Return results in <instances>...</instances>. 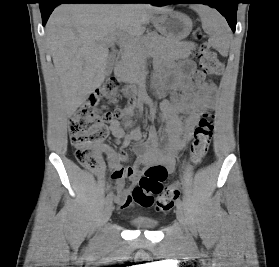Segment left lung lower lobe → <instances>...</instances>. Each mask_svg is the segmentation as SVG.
Here are the masks:
<instances>
[{"mask_svg":"<svg viewBox=\"0 0 279 267\" xmlns=\"http://www.w3.org/2000/svg\"><path fill=\"white\" fill-rule=\"evenodd\" d=\"M145 3L154 5H167L172 3H200L208 4L216 8L226 18L232 31L236 28V13L238 7V0H147Z\"/></svg>","mask_w":279,"mask_h":267,"instance_id":"1","label":"left lung lower lobe"}]
</instances>
